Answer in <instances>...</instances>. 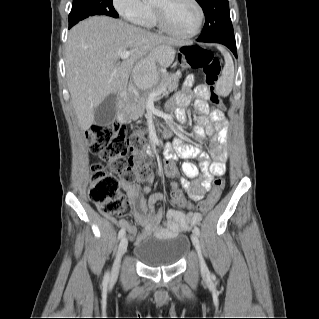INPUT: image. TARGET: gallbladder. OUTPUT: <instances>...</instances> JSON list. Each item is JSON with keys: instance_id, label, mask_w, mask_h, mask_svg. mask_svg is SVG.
<instances>
[{"instance_id": "gallbladder-1", "label": "gallbladder", "mask_w": 319, "mask_h": 319, "mask_svg": "<svg viewBox=\"0 0 319 319\" xmlns=\"http://www.w3.org/2000/svg\"><path fill=\"white\" fill-rule=\"evenodd\" d=\"M117 101V94H110L95 108L94 123L96 125H107L115 120Z\"/></svg>"}]
</instances>
